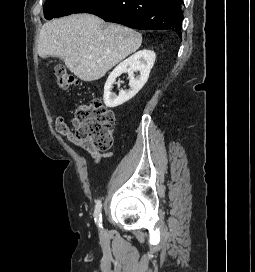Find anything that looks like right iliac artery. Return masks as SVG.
Listing matches in <instances>:
<instances>
[{
	"instance_id": "obj_1",
	"label": "right iliac artery",
	"mask_w": 255,
	"mask_h": 272,
	"mask_svg": "<svg viewBox=\"0 0 255 272\" xmlns=\"http://www.w3.org/2000/svg\"><path fill=\"white\" fill-rule=\"evenodd\" d=\"M102 203L100 200L96 202L94 219L99 228H102V214H101Z\"/></svg>"
}]
</instances>
